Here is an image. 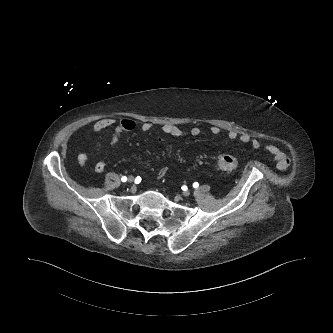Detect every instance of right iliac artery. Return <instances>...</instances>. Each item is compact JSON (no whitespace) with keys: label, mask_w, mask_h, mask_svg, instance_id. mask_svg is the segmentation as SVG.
Segmentation results:
<instances>
[{"label":"right iliac artery","mask_w":333,"mask_h":333,"mask_svg":"<svg viewBox=\"0 0 333 333\" xmlns=\"http://www.w3.org/2000/svg\"><path fill=\"white\" fill-rule=\"evenodd\" d=\"M121 180H122V182H126V181H127V177H126V176H123V177L121 178Z\"/></svg>","instance_id":"82829eb1"}]
</instances>
